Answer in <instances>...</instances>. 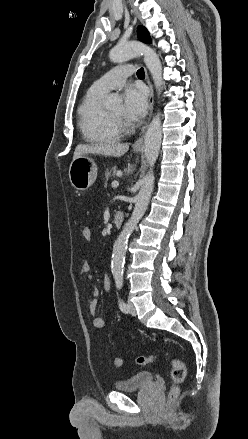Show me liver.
Wrapping results in <instances>:
<instances>
[{"instance_id": "obj_1", "label": "liver", "mask_w": 248, "mask_h": 439, "mask_svg": "<svg viewBox=\"0 0 248 439\" xmlns=\"http://www.w3.org/2000/svg\"><path fill=\"white\" fill-rule=\"evenodd\" d=\"M128 149V143L120 142L79 144L75 148L73 159L83 154H98L104 156L121 157L128 151Z\"/></svg>"}]
</instances>
